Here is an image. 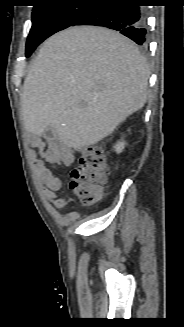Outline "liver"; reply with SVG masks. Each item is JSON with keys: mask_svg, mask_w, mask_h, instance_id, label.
Instances as JSON below:
<instances>
[{"mask_svg": "<svg viewBox=\"0 0 184 327\" xmlns=\"http://www.w3.org/2000/svg\"><path fill=\"white\" fill-rule=\"evenodd\" d=\"M149 67L136 44L100 27H72L44 42L25 78L24 126L48 128L81 149L108 135L147 100Z\"/></svg>", "mask_w": 184, "mask_h": 327, "instance_id": "obj_1", "label": "liver"}]
</instances>
